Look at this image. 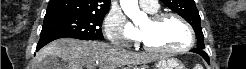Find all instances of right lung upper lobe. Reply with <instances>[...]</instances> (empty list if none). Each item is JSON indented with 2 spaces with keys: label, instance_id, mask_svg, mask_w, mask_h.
Listing matches in <instances>:
<instances>
[{
  "label": "right lung upper lobe",
  "instance_id": "cb5924a9",
  "mask_svg": "<svg viewBox=\"0 0 246 69\" xmlns=\"http://www.w3.org/2000/svg\"><path fill=\"white\" fill-rule=\"evenodd\" d=\"M110 0H50L45 17L58 15H105Z\"/></svg>",
  "mask_w": 246,
  "mask_h": 69
}]
</instances>
